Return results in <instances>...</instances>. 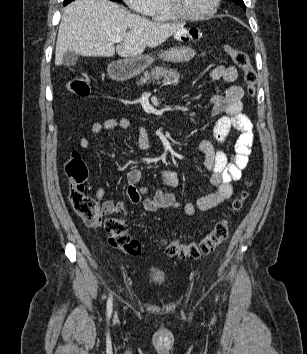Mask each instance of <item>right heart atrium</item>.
I'll list each match as a JSON object with an SVG mask.
<instances>
[{
    "mask_svg": "<svg viewBox=\"0 0 307 354\" xmlns=\"http://www.w3.org/2000/svg\"><path fill=\"white\" fill-rule=\"evenodd\" d=\"M126 5L132 10L148 15L149 11L152 8L154 0H123Z\"/></svg>",
    "mask_w": 307,
    "mask_h": 354,
    "instance_id": "right-heart-atrium-1",
    "label": "right heart atrium"
}]
</instances>
